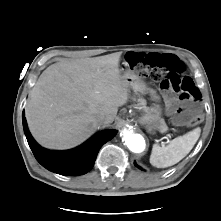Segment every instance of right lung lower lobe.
Wrapping results in <instances>:
<instances>
[{"instance_id":"98d812e1","label":"right lung lower lobe","mask_w":221,"mask_h":221,"mask_svg":"<svg viewBox=\"0 0 221 221\" xmlns=\"http://www.w3.org/2000/svg\"><path fill=\"white\" fill-rule=\"evenodd\" d=\"M22 122L28 144L37 161L46 169L66 176L82 175L90 171L100 148L116 134L113 129L104 130L75 149L50 151L42 148L33 139L27 128L24 112L22 113Z\"/></svg>"}]
</instances>
